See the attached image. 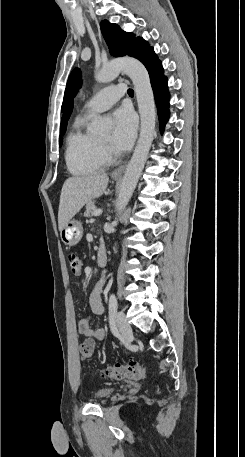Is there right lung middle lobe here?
<instances>
[{
    "mask_svg": "<svg viewBox=\"0 0 245 457\" xmlns=\"http://www.w3.org/2000/svg\"><path fill=\"white\" fill-rule=\"evenodd\" d=\"M65 132H66V128H64V129H61V132H60V134H61V135H64V134H65ZM59 142H60V146H61V144H62V137H60V139H59Z\"/></svg>",
    "mask_w": 245,
    "mask_h": 457,
    "instance_id": "right-lung-middle-lobe-1",
    "label": "right lung middle lobe"
}]
</instances>
